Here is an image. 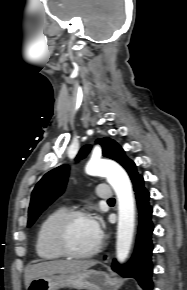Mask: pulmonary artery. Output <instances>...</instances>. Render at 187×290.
<instances>
[{
    "label": "pulmonary artery",
    "mask_w": 187,
    "mask_h": 290,
    "mask_svg": "<svg viewBox=\"0 0 187 290\" xmlns=\"http://www.w3.org/2000/svg\"><path fill=\"white\" fill-rule=\"evenodd\" d=\"M96 193H97L98 198L105 200V201H109L110 199L113 198L112 190L105 187V186H99L97 188Z\"/></svg>",
    "instance_id": "1"
}]
</instances>
